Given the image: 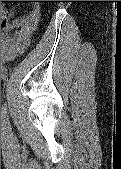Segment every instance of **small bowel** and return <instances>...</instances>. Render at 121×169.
Segmentation results:
<instances>
[{"instance_id": "1", "label": "small bowel", "mask_w": 121, "mask_h": 169, "mask_svg": "<svg viewBox=\"0 0 121 169\" xmlns=\"http://www.w3.org/2000/svg\"><path fill=\"white\" fill-rule=\"evenodd\" d=\"M40 17L38 8L18 18H14L12 10L3 11L1 57L4 61H12L24 53L35 35Z\"/></svg>"}]
</instances>
